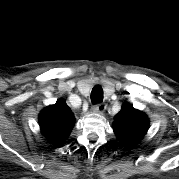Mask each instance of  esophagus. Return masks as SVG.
I'll use <instances>...</instances> for the list:
<instances>
[{
	"mask_svg": "<svg viewBox=\"0 0 179 179\" xmlns=\"http://www.w3.org/2000/svg\"><path fill=\"white\" fill-rule=\"evenodd\" d=\"M105 109H106L105 103H98L92 108V111L102 114L105 111Z\"/></svg>",
	"mask_w": 179,
	"mask_h": 179,
	"instance_id": "esophagus-1",
	"label": "esophagus"
}]
</instances>
